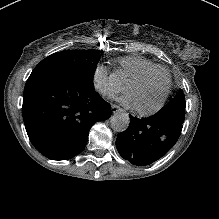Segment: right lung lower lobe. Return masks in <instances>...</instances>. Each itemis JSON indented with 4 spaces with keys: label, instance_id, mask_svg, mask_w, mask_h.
Masks as SVG:
<instances>
[{
    "label": "right lung lower lobe",
    "instance_id": "obj_1",
    "mask_svg": "<svg viewBox=\"0 0 219 219\" xmlns=\"http://www.w3.org/2000/svg\"><path fill=\"white\" fill-rule=\"evenodd\" d=\"M110 104L92 81L58 66L30 75L23 95V118L28 136L43 155L68 159L81 152L97 121L110 117Z\"/></svg>",
    "mask_w": 219,
    "mask_h": 219
}]
</instances>
